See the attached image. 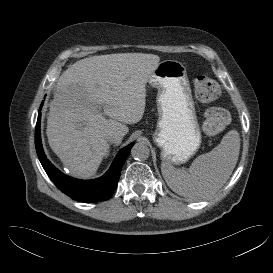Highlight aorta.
<instances>
[{
    "label": "aorta",
    "mask_w": 273,
    "mask_h": 273,
    "mask_svg": "<svg viewBox=\"0 0 273 273\" xmlns=\"http://www.w3.org/2000/svg\"><path fill=\"white\" fill-rule=\"evenodd\" d=\"M131 155L136 160H146L150 155V149L143 143H136L131 149Z\"/></svg>",
    "instance_id": "762f6f07"
}]
</instances>
